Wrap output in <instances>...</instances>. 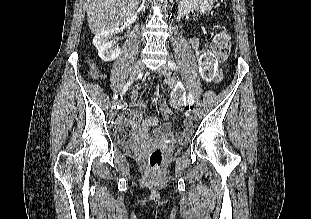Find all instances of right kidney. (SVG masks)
<instances>
[{
    "mask_svg": "<svg viewBox=\"0 0 311 219\" xmlns=\"http://www.w3.org/2000/svg\"><path fill=\"white\" fill-rule=\"evenodd\" d=\"M118 31L119 28L105 30L96 34L93 39V44L98 50L99 57L105 62L115 60L120 54V49L113 47L112 44L113 37Z\"/></svg>",
    "mask_w": 311,
    "mask_h": 219,
    "instance_id": "ca27d5eb",
    "label": "right kidney"
}]
</instances>
